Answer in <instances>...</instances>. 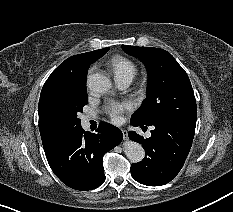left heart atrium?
<instances>
[{
	"instance_id": "obj_1",
	"label": "left heart atrium",
	"mask_w": 233,
	"mask_h": 212,
	"mask_svg": "<svg viewBox=\"0 0 233 212\" xmlns=\"http://www.w3.org/2000/svg\"><path fill=\"white\" fill-rule=\"evenodd\" d=\"M131 108L130 103L128 102H109L106 105V112L114 122H119L121 120V115L126 110Z\"/></svg>"
}]
</instances>
